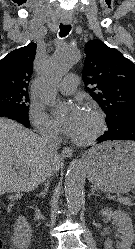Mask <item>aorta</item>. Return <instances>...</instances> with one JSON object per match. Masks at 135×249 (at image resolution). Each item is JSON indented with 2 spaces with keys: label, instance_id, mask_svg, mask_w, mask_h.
I'll use <instances>...</instances> for the list:
<instances>
[{
  "label": "aorta",
  "instance_id": "762f6f07",
  "mask_svg": "<svg viewBox=\"0 0 135 249\" xmlns=\"http://www.w3.org/2000/svg\"><path fill=\"white\" fill-rule=\"evenodd\" d=\"M80 52L69 46L59 48L50 58L40 75V95L51 108L58 106L56 85L70 68L78 61ZM84 167L75 159L68 167L65 176V196L73 212L78 211L84 199Z\"/></svg>",
  "mask_w": 135,
  "mask_h": 249
}]
</instances>
